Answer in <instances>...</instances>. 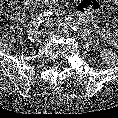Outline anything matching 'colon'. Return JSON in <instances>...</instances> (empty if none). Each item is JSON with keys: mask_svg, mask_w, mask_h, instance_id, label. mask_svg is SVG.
<instances>
[{"mask_svg": "<svg viewBox=\"0 0 118 118\" xmlns=\"http://www.w3.org/2000/svg\"><path fill=\"white\" fill-rule=\"evenodd\" d=\"M22 0H0V14L4 13L7 18H16L21 11Z\"/></svg>", "mask_w": 118, "mask_h": 118, "instance_id": "obj_1", "label": "colon"}]
</instances>
